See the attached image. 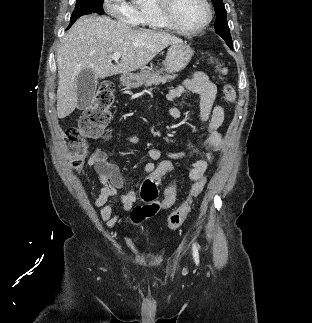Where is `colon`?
<instances>
[{
  "label": "colon",
  "mask_w": 312,
  "mask_h": 323,
  "mask_svg": "<svg viewBox=\"0 0 312 323\" xmlns=\"http://www.w3.org/2000/svg\"><path fill=\"white\" fill-rule=\"evenodd\" d=\"M216 68L220 73L225 74L227 68L221 60L215 62ZM114 85L110 79H103L98 86L91 105L86 107L78 118V124L70 127L66 131V141L73 151L76 158L75 161H67V168H82V161L91 155V149L87 144V139L102 140L106 137V128L111 120V112L115 103V95L113 91ZM224 99L232 103L236 98L235 88L230 83H223L221 86ZM173 161L162 160L155 168L152 177H141L140 194L147 204L140 210L144 218L153 217L160 209L157 198V185L160 182L161 175L173 170ZM172 165V166H171ZM205 186L201 181L192 185L189 193H186L185 199L178 210H171V218L168 223V230L175 231L183 222L184 217L189 216V207L199 191H204ZM174 188H167L165 197L161 198L164 211L172 209L173 199L175 197Z\"/></svg>",
  "instance_id": "5ec220e1"
}]
</instances>
